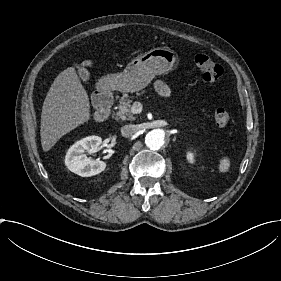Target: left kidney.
<instances>
[{"mask_svg": "<svg viewBox=\"0 0 281 281\" xmlns=\"http://www.w3.org/2000/svg\"><path fill=\"white\" fill-rule=\"evenodd\" d=\"M195 154L191 151H188L187 152V155H186V158H187V161L191 164L195 163Z\"/></svg>", "mask_w": 281, "mask_h": 281, "instance_id": "5707ae66", "label": "left kidney"}]
</instances>
